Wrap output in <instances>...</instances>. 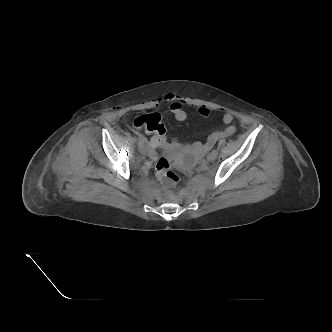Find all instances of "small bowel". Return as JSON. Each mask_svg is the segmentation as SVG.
Here are the masks:
<instances>
[{"instance_id":"small-bowel-1","label":"small bowel","mask_w":332,"mask_h":332,"mask_svg":"<svg viewBox=\"0 0 332 332\" xmlns=\"http://www.w3.org/2000/svg\"><path fill=\"white\" fill-rule=\"evenodd\" d=\"M164 101L170 105V111L178 121H184L187 118V112L184 110L183 100L173 93H168L164 96ZM198 113L201 117L207 118L210 115V110L206 107H200ZM233 115L230 112L223 114L222 120L227 126L218 131L210 133L204 143L195 142L192 147L197 153H203L214 146V144L222 138L229 137L236 132V127L232 125ZM177 143V141H175ZM161 147L158 145L156 139L152 137L149 146L145 148L144 153L151 157H155L157 148Z\"/></svg>"}]
</instances>
